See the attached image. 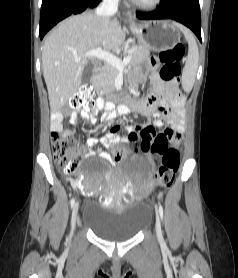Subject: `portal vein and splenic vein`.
Instances as JSON below:
<instances>
[{
    "instance_id": "18ae733b",
    "label": "portal vein and splenic vein",
    "mask_w": 238,
    "mask_h": 278,
    "mask_svg": "<svg viewBox=\"0 0 238 278\" xmlns=\"http://www.w3.org/2000/svg\"><path fill=\"white\" fill-rule=\"evenodd\" d=\"M84 58H90V57H95L100 60H103L107 64L116 67L117 69H124L126 65L129 64L131 60V56L125 57L123 60L118 58L117 56L107 52L103 51L101 48H96L94 50L88 51L84 54ZM81 57H75L76 61H79Z\"/></svg>"
}]
</instances>
